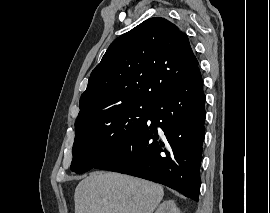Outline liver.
<instances>
[{"mask_svg":"<svg viewBox=\"0 0 270 213\" xmlns=\"http://www.w3.org/2000/svg\"><path fill=\"white\" fill-rule=\"evenodd\" d=\"M163 187L139 178L93 172L75 189V213H153Z\"/></svg>","mask_w":270,"mask_h":213,"instance_id":"6515ba94","label":"liver"}]
</instances>
